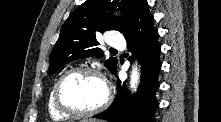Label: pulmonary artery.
I'll use <instances>...</instances> for the list:
<instances>
[{
	"instance_id": "e3ab8cb5",
	"label": "pulmonary artery",
	"mask_w": 221,
	"mask_h": 122,
	"mask_svg": "<svg viewBox=\"0 0 221 122\" xmlns=\"http://www.w3.org/2000/svg\"><path fill=\"white\" fill-rule=\"evenodd\" d=\"M108 44L113 48L123 49L125 47V39L120 34H113L109 38Z\"/></svg>"
}]
</instances>
